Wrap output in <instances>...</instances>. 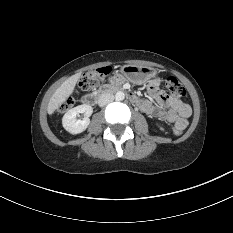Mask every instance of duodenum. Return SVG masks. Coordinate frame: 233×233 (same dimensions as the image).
I'll return each instance as SVG.
<instances>
[{
    "label": "duodenum",
    "instance_id": "1",
    "mask_svg": "<svg viewBox=\"0 0 233 233\" xmlns=\"http://www.w3.org/2000/svg\"><path fill=\"white\" fill-rule=\"evenodd\" d=\"M118 90H120V87L118 85L110 84V85L105 86L104 88H102L98 92L86 94L82 98V101H83V103H85L87 105H94L98 102V100L101 98V96H103L107 93H110V92L118 91ZM130 98H131V101L134 102L135 104L139 103L138 97L131 95Z\"/></svg>",
    "mask_w": 233,
    "mask_h": 233
}]
</instances>
